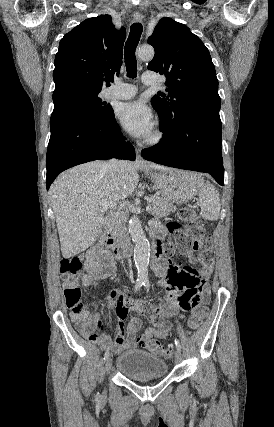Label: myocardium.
<instances>
[{
	"label": "myocardium",
	"mask_w": 274,
	"mask_h": 427,
	"mask_svg": "<svg viewBox=\"0 0 274 427\" xmlns=\"http://www.w3.org/2000/svg\"><path fill=\"white\" fill-rule=\"evenodd\" d=\"M168 139V133L162 126H158L151 136H149L144 145L148 148L156 149L163 146Z\"/></svg>",
	"instance_id": "f54148a6"
}]
</instances>
